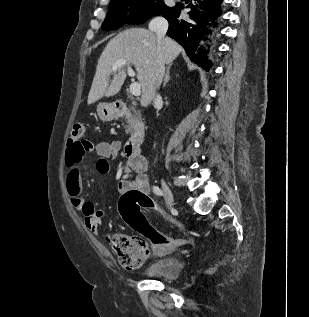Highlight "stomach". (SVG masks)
Returning a JSON list of instances; mask_svg holds the SVG:
<instances>
[{"label": "stomach", "mask_w": 309, "mask_h": 317, "mask_svg": "<svg viewBox=\"0 0 309 317\" xmlns=\"http://www.w3.org/2000/svg\"><path fill=\"white\" fill-rule=\"evenodd\" d=\"M97 113L102 121H111L119 116L114 105L110 103H99Z\"/></svg>", "instance_id": "obj_1"}]
</instances>
